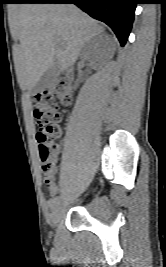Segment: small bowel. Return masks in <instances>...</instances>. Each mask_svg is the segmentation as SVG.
I'll return each mask as SVG.
<instances>
[{
	"mask_svg": "<svg viewBox=\"0 0 166 267\" xmlns=\"http://www.w3.org/2000/svg\"><path fill=\"white\" fill-rule=\"evenodd\" d=\"M44 183H45L48 191L51 194H55L56 193V191H57V184H56V181L54 179V175H51L50 177H45L44 178Z\"/></svg>",
	"mask_w": 166,
	"mask_h": 267,
	"instance_id": "obj_1",
	"label": "small bowel"
}]
</instances>
